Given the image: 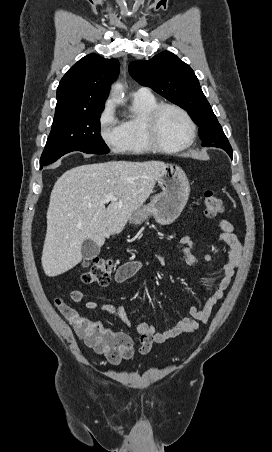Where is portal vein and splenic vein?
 <instances>
[{
	"label": "portal vein and splenic vein",
	"instance_id": "portal-vein-and-splenic-vein-1",
	"mask_svg": "<svg viewBox=\"0 0 272 452\" xmlns=\"http://www.w3.org/2000/svg\"><path fill=\"white\" fill-rule=\"evenodd\" d=\"M116 200H118V198H116L112 194H107L106 197H105V202L116 201Z\"/></svg>",
	"mask_w": 272,
	"mask_h": 452
}]
</instances>
